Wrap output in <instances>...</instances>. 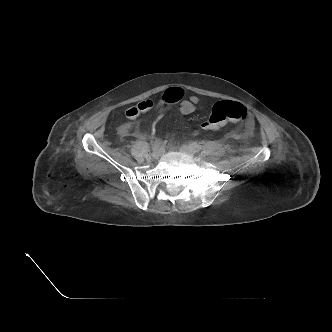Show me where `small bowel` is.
<instances>
[{
	"mask_svg": "<svg viewBox=\"0 0 332 332\" xmlns=\"http://www.w3.org/2000/svg\"><path fill=\"white\" fill-rule=\"evenodd\" d=\"M173 89H178L182 93V96L180 98V106H179V111L182 115H190L197 110L200 102V99L197 95L193 94L190 95L187 99H182L183 91L180 88H173ZM158 108L161 112H164L168 108V104L166 102H162L159 104ZM253 130H254V124L250 120L242 129L241 136L245 138L249 136L253 132ZM194 133H198V131H195Z\"/></svg>",
	"mask_w": 332,
	"mask_h": 332,
	"instance_id": "c3829d8e",
	"label": "small bowel"
}]
</instances>
